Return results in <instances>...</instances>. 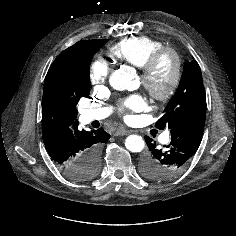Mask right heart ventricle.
<instances>
[{"mask_svg": "<svg viewBox=\"0 0 236 236\" xmlns=\"http://www.w3.org/2000/svg\"><path fill=\"white\" fill-rule=\"evenodd\" d=\"M162 47L164 43L160 40L148 36H133L112 45L108 54L115 60L140 68L154 52Z\"/></svg>", "mask_w": 236, "mask_h": 236, "instance_id": "e07e8e85", "label": "right heart ventricle"}]
</instances>
